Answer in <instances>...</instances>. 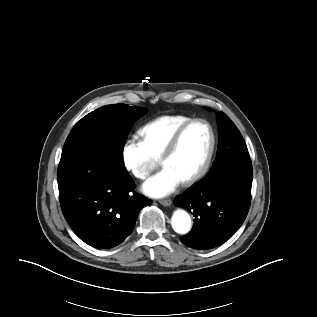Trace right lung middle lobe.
<instances>
[{"label":"right lung middle lobe","instance_id":"1","mask_svg":"<svg viewBox=\"0 0 317 317\" xmlns=\"http://www.w3.org/2000/svg\"><path fill=\"white\" fill-rule=\"evenodd\" d=\"M146 113L144 108L113 104L87 114L71 130L63 147L58 179L71 170L97 159L123 163V147L132 123Z\"/></svg>","mask_w":317,"mask_h":317}]
</instances>
